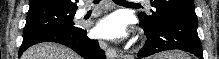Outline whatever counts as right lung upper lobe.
Returning <instances> with one entry per match:
<instances>
[{
	"label": "right lung upper lobe",
	"instance_id": "obj_1",
	"mask_svg": "<svg viewBox=\"0 0 219 59\" xmlns=\"http://www.w3.org/2000/svg\"><path fill=\"white\" fill-rule=\"evenodd\" d=\"M29 6L30 8L28 13L47 9L75 11L78 8L76 3L72 0H30Z\"/></svg>",
	"mask_w": 219,
	"mask_h": 59
}]
</instances>
